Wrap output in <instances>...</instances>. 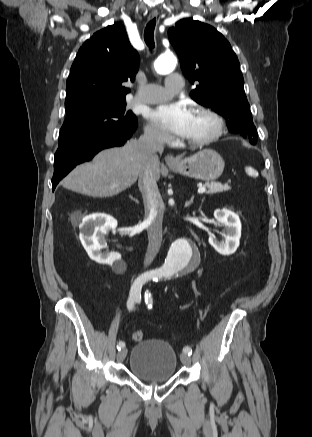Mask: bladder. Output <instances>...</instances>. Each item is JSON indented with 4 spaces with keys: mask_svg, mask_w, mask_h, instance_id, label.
<instances>
[{
    "mask_svg": "<svg viewBox=\"0 0 312 437\" xmlns=\"http://www.w3.org/2000/svg\"><path fill=\"white\" fill-rule=\"evenodd\" d=\"M176 367L175 350L161 339L138 342L129 358L132 375L147 383H163L170 380L175 375Z\"/></svg>",
    "mask_w": 312,
    "mask_h": 437,
    "instance_id": "bladder-1",
    "label": "bladder"
}]
</instances>
